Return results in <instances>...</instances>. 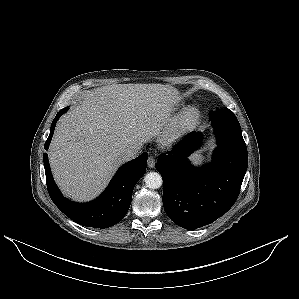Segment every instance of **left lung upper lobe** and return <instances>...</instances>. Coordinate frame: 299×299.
<instances>
[{
    "mask_svg": "<svg viewBox=\"0 0 299 299\" xmlns=\"http://www.w3.org/2000/svg\"><path fill=\"white\" fill-rule=\"evenodd\" d=\"M226 109H228V108H225V109H217V110L214 111V112H210V113H209V117L212 118L213 116L219 114L220 112H223V111L226 110Z\"/></svg>",
    "mask_w": 299,
    "mask_h": 299,
    "instance_id": "5c2ea615",
    "label": "left lung upper lobe"
}]
</instances>
